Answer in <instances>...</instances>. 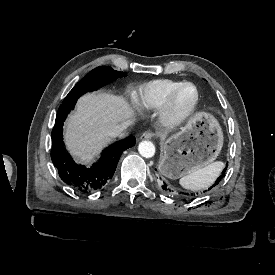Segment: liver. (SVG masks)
Segmentation results:
<instances>
[{
  "label": "liver",
  "mask_w": 275,
  "mask_h": 275,
  "mask_svg": "<svg viewBox=\"0 0 275 275\" xmlns=\"http://www.w3.org/2000/svg\"><path fill=\"white\" fill-rule=\"evenodd\" d=\"M134 112L123 96L88 93L77 103L66 121L65 144L81 163H90L110 141L107 131L131 124ZM125 134H120L124 137Z\"/></svg>",
  "instance_id": "obj_1"
}]
</instances>
